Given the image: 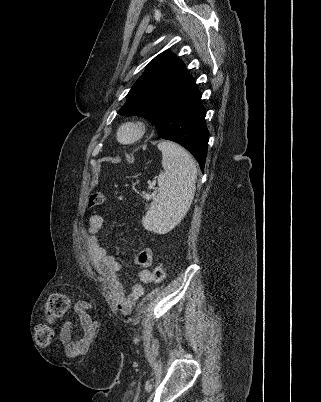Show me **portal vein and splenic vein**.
<instances>
[{"instance_id": "portal-vein-and-splenic-vein-1", "label": "portal vein and splenic vein", "mask_w": 321, "mask_h": 402, "mask_svg": "<svg viewBox=\"0 0 321 402\" xmlns=\"http://www.w3.org/2000/svg\"><path fill=\"white\" fill-rule=\"evenodd\" d=\"M149 188H152V186L150 185ZM153 196H154V194H150V195L147 194V195H146V198L149 199V198H151V197H153Z\"/></svg>"}]
</instances>
